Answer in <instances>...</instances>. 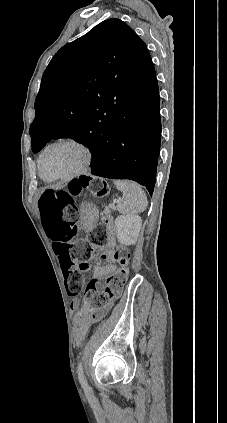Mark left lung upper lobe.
<instances>
[{
  "label": "left lung upper lobe",
  "mask_w": 227,
  "mask_h": 423,
  "mask_svg": "<svg viewBox=\"0 0 227 423\" xmlns=\"http://www.w3.org/2000/svg\"><path fill=\"white\" fill-rule=\"evenodd\" d=\"M146 44L111 18L63 46L52 58L35 100L32 151L58 138L94 134L107 112H137L155 78Z\"/></svg>",
  "instance_id": "obj_1"
}]
</instances>
